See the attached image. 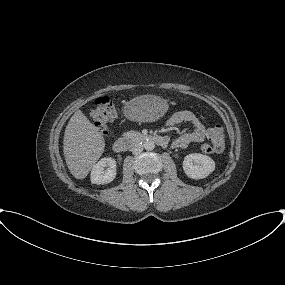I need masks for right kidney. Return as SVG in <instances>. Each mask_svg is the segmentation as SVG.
<instances>
[{
  "label": "right kidney",
  "instance_id": "ca27d5eb",
  "mask_svg": "<svg viewBox=\"0 0 285 285\" xmlns=\"http://www.w3.org/2000/svg\"><path fill=\"white\" fill-rule=\"evenodd\" d=\"M107 169L105 170V168ZM116 161L111 157L102 158L91 170L90 180L93 184H107L116 177Z\"/></svg>",
  "mask_w": 285,
  "mask_h": 285
}]
</instances>
